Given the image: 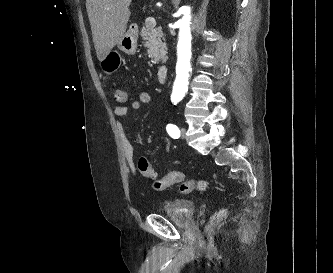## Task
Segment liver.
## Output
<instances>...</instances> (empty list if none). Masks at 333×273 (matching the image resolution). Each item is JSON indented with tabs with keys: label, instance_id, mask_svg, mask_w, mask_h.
Returning a JSON list of instances; mask_svg holds the SVG:
<instances>
[{
	"label": "liver",
	"instance_id": "1",
	"mask_svg": "<svg viewBox=\"0 0 333 273\" xmlns=\"http://www.w3.org/2000/svg\"><path fill=\"white\" fill-rule=\"evenodd\" d=\"M132 0H86L93 42L99 61L125 34Z\"/></svg>",
	"mask_w": 333,
	"mask_h": 273
}]
</instances>
